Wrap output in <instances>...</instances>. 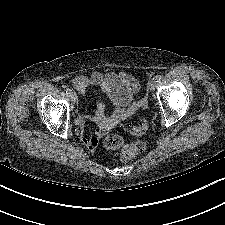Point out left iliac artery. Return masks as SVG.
<instances>
[{"label":"left iliac artery","instance_id":"obj_1","mask_svg":"<svg viewBox=\"0 0 225 225\" xmlns=\"http://www.w3.org/2000/svg\"><path fill=\"white\" fill-rule=\"evenodd\" d=\"M162 76L161 75H156L154 77L155 82H159L161 80Z\"/></svg>","mask_w":225,"mask_h":225}]
</instances>
